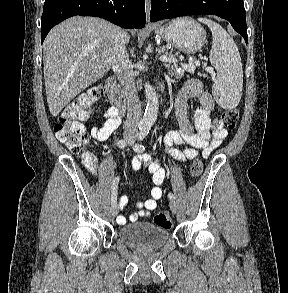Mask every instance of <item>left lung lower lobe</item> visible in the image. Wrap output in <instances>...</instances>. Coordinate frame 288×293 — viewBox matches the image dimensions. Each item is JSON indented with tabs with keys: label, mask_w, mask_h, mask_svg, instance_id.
I'll list each match as a JSON object with an SVG mask.
<instances>
[{
	"label": "left lung lower lobe",
	"mask_w": 288,
	"mask_h": 293,
	"mask_svg": "<svg viewBox=\"0 0 288 293\" xmlns=\"http://www.w3.org/2000/svg\"><path fill=\"white\" fill-rule=\"evenodd\" d=\"M196 14H213L228 20L247 44L246 15L242 0H151V22Z\"/></svg>",
	"instance_id": "1"
}]
</instances>
